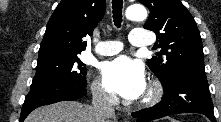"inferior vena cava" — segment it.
I'll use <instances>...</instances> for the list:
<instances>
[{
    "label": "inferior vena cava",
    "instance_id": "obj_1",
    "mask_svg": "<svg viewBox=\"0 0 221 122\" xmlns=\"http://www.w3.org/2000/svg\"><path fill=\"white\" fill-rule=\"evenodd\" d=\"M92 105L96 116V122H109L115 118V111L112 105V97L101 87L92 90Z\"/></svg>",
    "mask_w": 221,
    "mask_h": 122
}]
</instances>
